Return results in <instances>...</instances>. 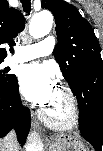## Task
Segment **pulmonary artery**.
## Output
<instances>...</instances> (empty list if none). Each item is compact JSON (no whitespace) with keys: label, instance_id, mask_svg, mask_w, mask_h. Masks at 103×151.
Returning a JSON list of instances; mask_svg holds the SVG:
<instances>
[{"label":"pulmonary artery","instance_id":"obj_1","mask_svg":"<svg viewBox=\"0 0 103 151\" xmlns=\"http://www.w3.org/2000/svg\"><path fill=\"white\" fill-rule=\"evenodd\" d=\"M55 39L47 36L41 42L17 48L15 60L18 62H26L35 58L47 56L53 52Z\"/></svg>","mask_w":103,"mask_h":151}]
</instances>
